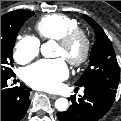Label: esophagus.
<instances>
[{"label": "esophagus", "instance_id": "esophagus-1", "mask_svg": "<svg viewBox=\"0 0 121 121\" xmlns=\"http://www.w3.org/2000/svg\"><path fill=\"white\" fill-rule=\"evenodd\" d=\"M49 97H50L51 99H57V98H58L57 95H49Z\"/></svg>", "mask_w": 121, "mask_h": 121}]
</instances>
